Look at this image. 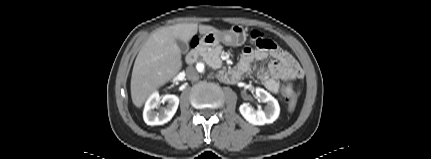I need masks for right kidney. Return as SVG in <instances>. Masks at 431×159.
I'll list each match as a JSON object with an SVG mask.
<instances>
[{
  "instance_id": "ca27d5eb",
  "label": "right kidney",
  "mask_w": 431,
  "mask_h": 159,
  "mask_svg": "<svg viewBox=\"0 0 431 159\" xmlns=\"http://www.w3.org/2000/svg\"><path fill=\"white\" fill-rule=\"evenodd\" d=\"M161 102H167L166 107L156 112L154 109L159 107ZM179 105V98L176 95H165L160 97L158 92L153 93L147 100L144 111L143 119L147 125H163L170 121Z\"/></svg>"
}]
</instances>
